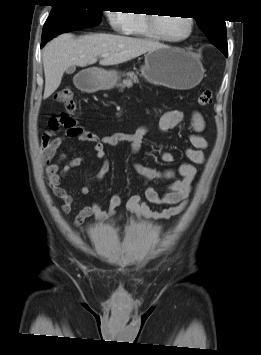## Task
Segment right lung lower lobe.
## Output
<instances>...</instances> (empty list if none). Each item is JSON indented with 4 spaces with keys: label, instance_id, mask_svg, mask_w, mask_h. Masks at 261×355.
Wrapping results in <instances>:
<instances>
[{
    "label": "right lung lower lobe",
    "instance_id": "obj_1",
    "mask_svg": "<svg viewBox=\"0 0 261 355\" xmlns=\"http://www.w3.org/2000/svg\"><path fill=\"white\" fill-rule=\"evenodd\" d=\"M86 28V26L75 22H60L43 27L41 47L55 36L68 32Z\"/></svg>",
    "mask_w": 261,
    "mask_h": 355
}]
</instances>
